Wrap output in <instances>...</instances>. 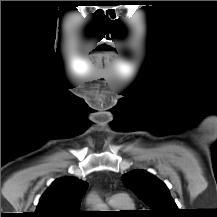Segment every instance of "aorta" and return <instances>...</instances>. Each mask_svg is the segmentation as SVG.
Wrapping results in <instances>:
<instances>
[{
  "label": "aorta",
  "mask_w": 217,
  "mask_h": 217,
  "mask_svg": "<svg viewBox=\"0 0 217 217\" xmlns=\"http://www.w3.org/2000/svg\"><path fill=\"white\" fill-rule=\"evenodd\" d=\"M87 201L95 208V209H104L105 206L104 204L101 202L100 198L95 194V193H91L88 198Z\"/></svg>",
  "instance_id": "aorta-1"
}]
</instances>
